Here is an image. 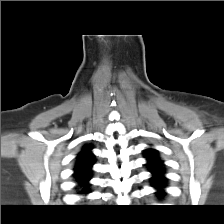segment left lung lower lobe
<instances>
[{"label": "left lung lower lobe", "mask_w": 224, "mask_h": 224, "mask_svg": "<svg viewBox=\"0 0 224 224\" xmlns=\"http://www.w3.org/2000/svg\"><path fill=\"white\" fill-rule=\"evenodd\" d=\"M150 172L153 174V186L158 189L157 194L159 196L163 195L164 192L161 190V188L164 186L165 182V179L163 177L164 171L150 170Z\"/></svg>", "instance_id": "1"}]
</instances>
